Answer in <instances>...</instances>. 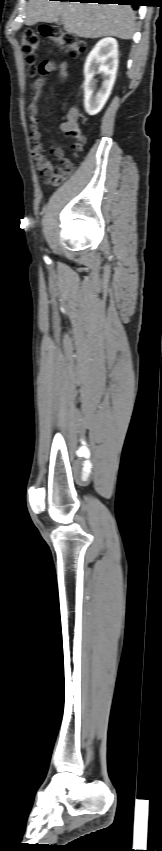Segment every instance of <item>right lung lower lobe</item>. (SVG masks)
<instances>
[{
    "label": "right lung lower lobe",
    "instance_id": "right-lung-lower-lobe-1",
    "mask_svg": "<svg viewBox=\"0 0 162 851\" xmlns=\"http://www.w3.org/2000/svg\"><path fill=\"white\" fill-rule=\"evenodd\" d=\"M60 1H79V2H89V3H99V4H119V5H137L139 6L141 0H60Z\"/></svg>",
    "mask_w": 162,
    "mask_h": 851
}]
</instances>
